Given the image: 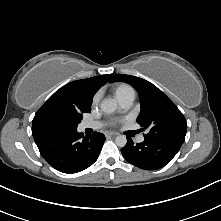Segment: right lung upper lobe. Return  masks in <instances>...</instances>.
I'll use <instances>...</instances> for the list:
<instances>
[{"instance_id": "right-lung-upper-lobe-1", "label": "right lung upper lobe", "mask_w": 221, "mask_h": 221, "mask_svg": "<svg viewBox=\"0 0 221 221\" xmlns=\"http://www.w3.org/2000/svg\"><path fill=\"white\" fill-rule=\"evenodd\" d=\"M113 74L101 75L83 80H76L57 90L37 111L32 123V135L36 143L52 134L41 130L42 119L50 113H62L82 116L91 110L92 98L95 92L108 81Z\"/></svg>"}]
</instances>
